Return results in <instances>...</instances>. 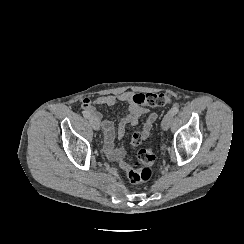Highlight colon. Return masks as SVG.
<instances>
[{
	"instance_id": "colon-1",
	"label": "colon",
	"mask_w": 244,
	"mask_h": 244,
	"mask_svg": "<svg viewBox=\"0 0 244 244\" xmlns=\"http://www.w3.org/2000/svg\"><path fill=\"white\" fill-rule=\"evenodd\" d=\"M133 102L139 107H161L171 103V97L163 92H149L136 94L132 98ZM131 145L138 146L143 141L141 132H134L131 135ZM155 145L142 148L138 155L135 165L120 161V168L126 174L128 181L132 184L141 183L148 180L152 175V167L155 163Z\"/></svg>"
}]
</instances>
